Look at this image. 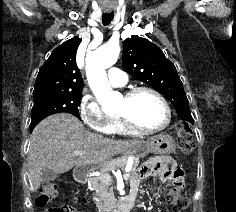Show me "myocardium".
I'll return each instance as SVG.
<instances>
[{
  "mask_svg": "<svg viewBox=\"0 0 236 212\" xmlns=\"http://www.w3.org/2000/svg\"><path fill=\"white\" fill-rule=\"evenodd\" d=\"M144 92L154 95L164 105L165 110H166V114H167L166 121L164 122V124H162L161 126H159L157 128L146 129V128L140 127L133 120L130 113H120V114H117L116 117L121 121L122 125L128 131H130L134 134H145V135H147V134L158 133V132L166 129L172 121V110H171L170 104L167 101V99L158 90H156L152 87H148V86H134V87L129 88L124 93V99L127 102H131L137 95H139L140 93H144Z\"/></svg>",
  "mask_w": 236,
  "mask_h": 212,
  "instance_id": "1",
  "label": "myocardium"
}]
</instances>
